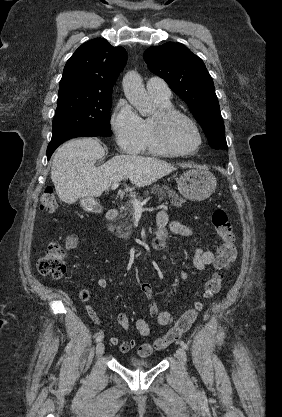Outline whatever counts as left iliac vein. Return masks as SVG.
<instances>
[{
	"instance_id": "1",
	"label": "left iliac vein",
	"mask_w": 282,
	"mask_h": 417,
	"mask_svg": "<svg viewBox=\"0 0 282 417\" xmlns=\"http://www.w3.org/2000/svg\"><path fill=\"white\" fill-rule=\"evenodd\" d=\"M176 357L180 361L181 364L185 365L187 361V355L184 348L180 347L176 351Z\"/></svg>"
}]
</instances>
